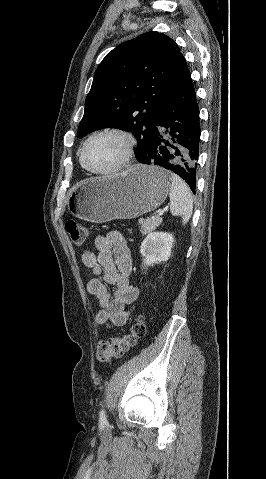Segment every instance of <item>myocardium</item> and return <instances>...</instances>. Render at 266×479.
I'll list each match as a JSON object with an SVG mask.
<instances>
[{
	"label": "myocardium",
	"instance_id": "myocardium-1",
	"mask_svg": "<svg viewBox=\"0 0 266 479\" xmlns=\"http://www.w3.org/2000/svg\"><path fill=\"white\" fill-rule=\"evenodd\" d=\"M104 135H116L121 137L124 142H125V149L124 153L120 159V161L112 168L104 171H99L91 168L88 163H87V151L91 143L98 137L104 136ZM135 137L133 136L132 133H130L127 130H124L122 128H117V127H108L105 129H102L100 131L95 132L92 134L87 141L85 142L82 152H81V160L82 163L89 172L95 175H110L113 173L118 172L122 168L126 166V164L129 162L130 158L132 157L133 151H134V146H135Z\"/></svg>",
	"mask_w": 266,
	"mask_h": 479
}]
</instances>
